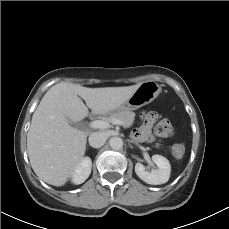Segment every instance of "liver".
Listing matches in <instances>:
<instances>
[{
    "label": "liver",
    "mask_w": 229,
    "mask_h": 229,
    "mask_svg": "<svg viewBox=\"0 0 229 229\" xmlns=\"http://www.w3.org/2000/svg\"><path fill=\"white\" fill-rule=\"evenodd\" d=\"M140 84L88 88L61 82L52 86L35 110L27 133V151L35 174L50 185H65L83 160L88 135L70 122L86 118L88 108L95 115L119 108Z\"/></svg>",
    "instance_id": "liver-1"
}]
</instances>
